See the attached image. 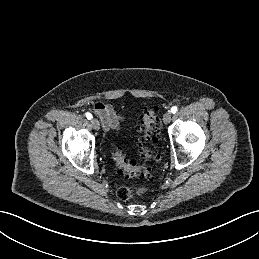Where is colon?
I'll use <instances>...</instances> for the list:
<instances>
[{"label":"colon","mask_w":259,"mask_h":259,"mask_svg":"<svg viewBox=\"0 0 259 259\" xmlns=\"http://www.w3.org/2000/svg\"><path fill=\"white\" fill-rule=\"evenodd\" d=\"M159 129L158 108H147L141 116V124L138 127L140 132V154L143 164L137 165L128 161L119 149L112 152L113 160L123 174L129 178H148L150 176L149 163L155 159L153 150L149 147L155 141V134ZM147 192V188L142 184L121 187L117 191V196L121 200H128L134 196H142Z\"/></svg>","instance_id":"obj_1"}]
</instances>
